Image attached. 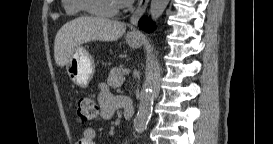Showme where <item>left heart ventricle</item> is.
I'll return each instance as SVG.
<instances>
[{
  "label": "left heart ventricle",
  "instance_id": "obj_1",
  "mask_svg": "<svg viewBox=\"0 0 273 144\" xmlns=\"http://www.w3.org/2000/svg\"><path fill=\"white\" fill-rule=\"evenodd\" d=\"M94 6L99 9L108 10L116 7L117 5L114 0H95Z\"/></svg>",
  "mask_w": 273,
  "mask_h": 144
}]
</instances>
